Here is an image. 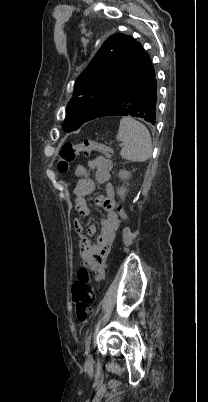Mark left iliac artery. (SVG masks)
I'll return each instance as SVG.
<instances>
[{
  "label": "left iliac artery",
  "mask_w": 208,
  "mask_h": 402,
  "mask_svg": "<svg viewBox=\"0 0 208 402\" xmlns=\"http://www.w3.org/2000/svg\"><path fill=\"white\" fill-rule=\"evenodd\" d=\"M90 343H91V333L89 334L87 340H86V344H85V354L88 355L89 351H90Z\"/></svg>",
  "instance_id": "left-iliac-artery-1"
}]
</instances>
